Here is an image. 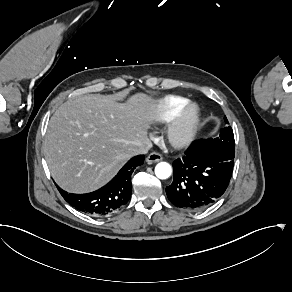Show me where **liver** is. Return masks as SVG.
<instances>
[{"instance_id":"1","label":"liver","mask_w":292,"mask_h":292,"mask_svg":"<svg viewBox=\"0 0 292 292\" xmlns=\"http://www.w3.org/2000/svg\"><path fill=\"white\" fill-rule=\"evenodd\" d=\"M154 103L137 95L128 104L84 95L59 107L49 122L44 155L52 176L70 192L108 182L146 140Z\"/></svg>"}]
</instances>
